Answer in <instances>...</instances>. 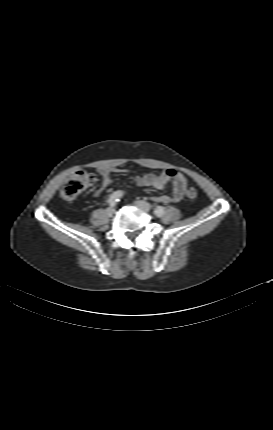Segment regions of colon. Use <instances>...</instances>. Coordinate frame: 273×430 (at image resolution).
<instances>
[{
	"mask_svg": "<svg viewBox=\"0 0 273 430\" xmlns=\"http://www.w3.org/2000/svg\"><path fill=\"white\" fill-rule=\"evenodd\" d=\"M96 178L94 174L86 171H80L72 175L61 189V197L64 200L70 201L78 197L82 192L92 186ZM198 192L191 187L187 191V196L190 199L196 198Z\"/></svg>",
	"mask_w": 273,
	"mask_h": 430,
	"instance_id": "5ec220e1",
	"label": "colon"
}]
</instances>
